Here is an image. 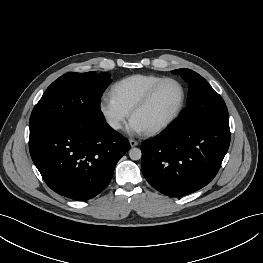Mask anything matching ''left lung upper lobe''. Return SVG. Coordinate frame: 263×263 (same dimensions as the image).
I'll return each instance as SVG.
<instances>
[{
  "instance_id": "1",
  "label": "left lung upper lobe",
  "mask_w": 263,
  "mask_h": 263,
  "mask_svg": "<svg viewBox=\"0 0 263 263\" xmlns=\"http://www.w3.org/2000/svg\"><path fill=\"white\" fill-rule=\"evenodd\" d=\"M189 83L188 105L172 125L180 131H191L209 121L229 119L228 110L222 97L208 82L190 69H177Z\"/></svg>"
}]
</instances>
